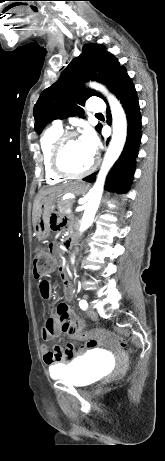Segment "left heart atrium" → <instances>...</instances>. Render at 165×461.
Wrapping results in <instances>:
<instances>
[{"label": "left heart atrium", "instance_id": "1", "mask_svg": "<svg viewBox=\"0 0 165 461\" xmlns=\"http://www.w3.org/2000/svg\"><path fill=\"white\" fill-rule=\"evenodd\" d=\"M86 148L94 155L96 153L98 140L91 130H86L80 137Z\"/></svg>", "mask_w": 165, "mask_h": 461}]
</instances>
